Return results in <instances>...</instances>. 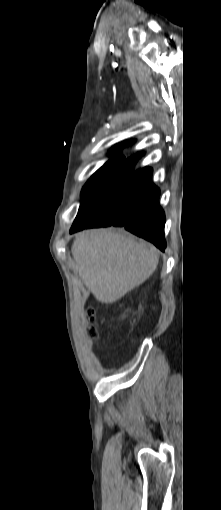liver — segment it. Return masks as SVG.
I'll use <instances>...</instances> for the list:
<instances>
[{
  "label": "liver",
  "instance_id": "6515ba94",
  "mask_svg": "<svg viewBox=\"0 0 221 510\" xmlns=\"http://www.w3.org/2000/svg\"><path fill=\"white\" fill-rule=\"evenodd\" d=\"M74 268L101 303H113L141 285L155 271L156 248L114 229L79 233L71 247Z\"/></svg>",
  "mask_w": 221,
  "mask_h": 510
}]
</instances>
